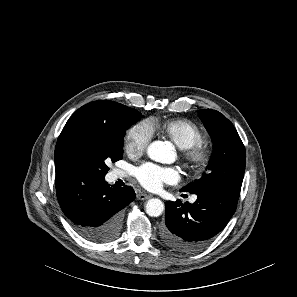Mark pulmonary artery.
<instances>
[{"instance_id":"obj_1","label":"pulmonary artery","mask_w":297,"mask_h":297,"mask_svg":"<svg viewBox=\"0 0 297 297\" xmlns=\"http://www.w3.org/2000/svg\"><path fill=\"white\" fill-rule=\"evenodd\" d=\"M124 176V174L121 172V171H114L113 173H112V177H113V179H118V178H122ZM192 201H195V197L194 198H192Z\"/></svg>"}]
</instances>
